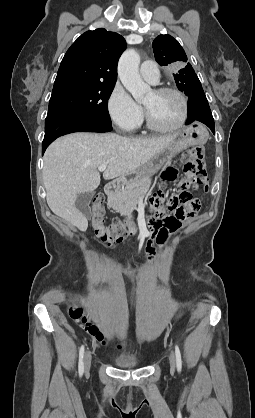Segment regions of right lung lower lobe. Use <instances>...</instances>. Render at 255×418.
Segmentation results:
<instances>
[{
	"label": "right lung lower lobe",
	"instance_id": "98d812e1",
	"mask_svg": "<svg viewBox=\"0 0 255 418\" xmlns=\"http://www.w3.org/2000/svg\"><path fill=\"white\" fill-rule=\"evenodd\" d=\"M112 126L93 117L70 111L48 112L45 120V136L42 154L58 137L73 132H109Z\"/></svg>",
	"mask_w": 255,
	"mask_h": 418
}]
</instances>
